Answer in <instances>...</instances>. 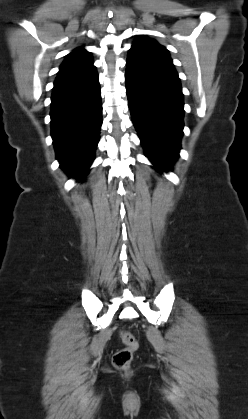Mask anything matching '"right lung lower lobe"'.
<instances>
[{"instance_id":"1","label":"right lung lower lobe","mask_w":248,"mask_h":419,"mask_svg":"<svg viewBox=\"0 0 248 419\" xmlns=\"http://www.w3.org/2000/svg\"><path fill=\"white\" fill-rule=\"evenodd\" d=\"M50 116L60 166L79 180L94 160L102 125L100 84L93 62L58 74Z\"/></svg>"}]
</instances>
